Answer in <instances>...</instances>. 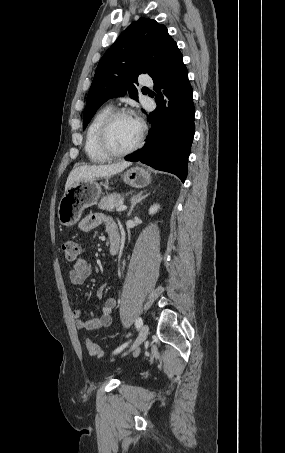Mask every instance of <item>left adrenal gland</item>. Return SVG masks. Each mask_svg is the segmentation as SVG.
<instances>
[{
  "mask_svg": "<svg viewBox=\"0 0 285 453\" xmlns=\"http://www.w3.org/2000/svg\"><path fill=\"white\" fill-rule=\"evenodd\" d=\"M145 192L146 191H141L140 193H138L135 197H133L131 199V207H130V210H129L128 214H127L128 217L131 215L132 211L134 210V207L138 203H140L142 200H144L146 197L149 196V194H145L144 195Z\"/></svg>",
  "mask_w": 285,
  "mask_h": 453,
  "instance_id": "left-adrenal-gland-1",
  "label": "left adrenal gland"
}]
</instances>
